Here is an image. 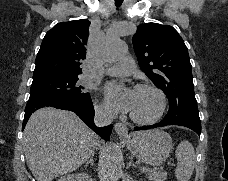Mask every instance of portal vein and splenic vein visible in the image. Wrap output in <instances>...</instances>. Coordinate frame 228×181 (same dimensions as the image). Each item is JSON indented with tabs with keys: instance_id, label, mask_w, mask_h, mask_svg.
<instances>
[{
	"instance_id": "portal-vein-and-splenic-vein-1",
	"label": "portal vein and splenic vein",
	"mask_w": 228,
	"mask_h": 181,
	"mask_svg": "<svg viewBox=\"0 0 228 181\" xmlns=\"http://www.w3.org/2000/svg\"><path fill=\"white\" fill-rule=\"evenodd\" d=\"M148 167L151 169L153 166L150 164ZM148 167L147 166H140L138 173L139 174H148L149 173Z\"/></svg>"
}]
</instances>
